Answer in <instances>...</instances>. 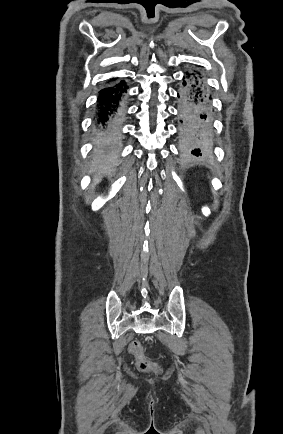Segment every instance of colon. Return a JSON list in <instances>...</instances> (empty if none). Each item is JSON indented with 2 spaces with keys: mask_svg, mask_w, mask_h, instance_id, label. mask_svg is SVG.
<instances>
[{
  "mask_svg": "<svg viewBox=\"0 0 283 434\" xmlns=\"http://www.w3.org/2000/svg\"><path fill=\"white\" fill-rule=\"evenodd\" d=\"M130 352L136 357L139 370L143 372L159 371V366L157 364L145 358L142 346L138 341H134L130 344Z\"/></svg>",
  "mask_w": 283,
  "mask_h": 434,
  "instance_id": "1",
  "label": "colon"
}]
</instances>
